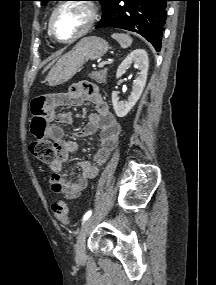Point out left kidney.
Instances as JSON below:
<instances>
[{
    "label": "left kidney",
    "mask_w": 216,
    "mask_h": 285,
    "mask_svg": "<svg viewBox=\"0 0 216 285\" xmlns=\"http://www.w3.org/2000/svg\"><path fill=\"white\" fill-rule=\"evenodd\" d=\"M135 63L139 69L138 77L133 81L132 92L128 100L123 102L119 100L118 92H112V104L116 115L120 118L126 116L139 100L147 80L149 60L147 52L144 49L132 51L120 64L117 69L116 78H120L126 73L131 63Z\"/></svg>",
    "instance_id": "5707ae66"
}]
</instances>
